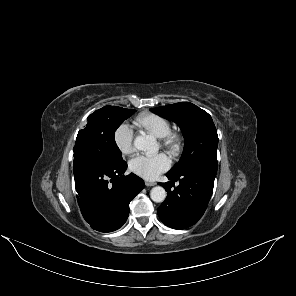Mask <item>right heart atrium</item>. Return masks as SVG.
I'll return each instance as SVG.
<instances>
[{
    "label": "right heart atrium",
    "mask_w": 296,
    "mask_h": 296,
    "mask_svg": "<svg viewBox=\"0 0 296 296\" xmlns=\"http://www.w3.org/2000/svg\"><path fill=\"white\" fill-rule=\"evenodd\" d=\"M113 140L116 148L123 155L134 153V131L129 124L123 123L119 125L114 132Z\"/></svg>",
    "instance_id": "right-heart-atrium-1"
}]
</instances>
